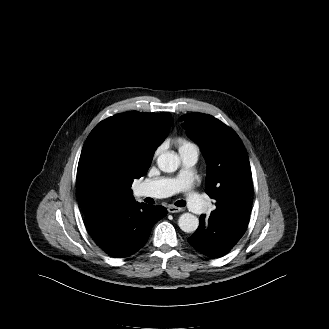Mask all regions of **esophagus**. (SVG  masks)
<instances>
[{
	"label": "esophagus",
	"instance_id": "1",
	"mask_svg": "<svg viewBox=\"0 0 329 329\" xmlns=\"http://www.w3.org/2000/svg\"><path fill=\"white\" fill-rule=\"evenodd\" d=\"M167 210H168L169 213H178V212L183 211L182 208L176 207L174 205H169Z\"/></svg>",
	"mask_w": 329,
	"mask_h": 329
}]
</instances>
